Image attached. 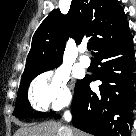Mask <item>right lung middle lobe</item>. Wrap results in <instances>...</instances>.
Wrapping results in <instances>:
<instances>
[{
  "label": "right lung middle lobe",
  "instance_id": "1",
  "mask_svg": "<svg viewBox=\"0 0 136 136\" xmlns=\"http://www.w3.org/2000/svg\"><path fill=\"white\" fill-rule=\"evenodd\" d=\"M55 68V67H53ZM51 68V69H53ZM50 70V69H48ZM44 70L35 74H31L27 77L22 78L21 84L19 87L17 99H16V104H15V109L13 112V115L16 116L17 118H32V117H49L50 115H53L54 112L50 113H40V114H34L30 110V104L28 101L27 93H28V87L30 82L39 74L48 71ZM79 82V81H78ZM77 82V84H78ZM76 84V86H77Z\"/></svg>",
  "mask_w": 136,
  "mask_h": 136
}]
</instances>
